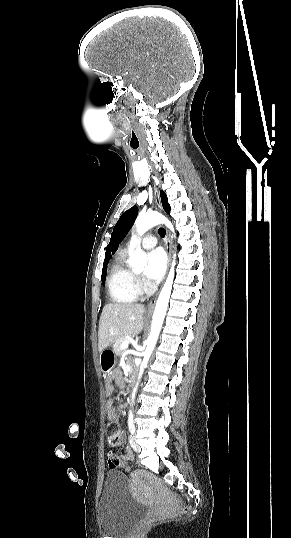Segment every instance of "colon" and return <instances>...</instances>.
<instances>
[{"mask_svg": "<svg viewBox=\"0 0 291 538\" xmlns=\"http://www.w3.org/2000/svg\"><path fill=\"white\" fill-rule=\"evenodd\" d=\"M106 436H107V441H108V444L110 447H115L118 445V443L121 442L122 438H123V432H122V429L120 428V425L118 424L117 421L115 420H111L107 426H106ZM108 462L110 463V465L112 466H115V467H122L123 469L125 470H128L129 469V465L126 464V463H123L121 461V459L114 455L113 453H110L109 456H108ZM186 509L183 508L181 510V512H185Z\"/></svg>", "mask_w": 291, "mask_h": 538, "instance_id": "obj_1", "label": "colon"}]
</instances>
